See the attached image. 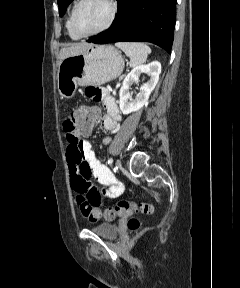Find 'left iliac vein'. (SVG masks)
Segmentation results:
<instances>
[{"mask_svg": "<svg viewBox=\"0 0 240 288\" xmlns=\"http://www.w3.org/2000/svg\"><path fill=\"white\" fill-rule=\"evenodd\" d=\"M115 164H116L117 168H120L122 166L121 160H119V159L116 160Z\"/></svg>", "mask_w": 240, "mask_h": 288, "instance_id": "1", "label": "left iliac vein"}]
</instances>
